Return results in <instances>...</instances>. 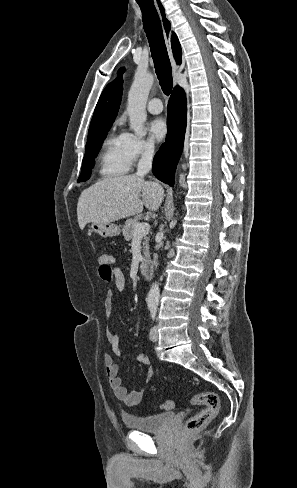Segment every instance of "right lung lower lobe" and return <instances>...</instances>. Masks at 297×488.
<instances>
[{
    "label": "right lung lower lobe",
    "mask_w": 297,
    "mask_h": 488,
    "mask_svg": "<svg viewBox=\"0 0 297 488\" xmlns=\"http://www.w3.org/2000/svg\"><path fill=\"white\" fill-rule=\"evenodd\" d=\"M168 134L153 160V173L164 183L174 185L177 163L182 153L186 129V97L175 87L168 103Z\"/></svg>",
    "instance_id": "right-lung-lower-lobe-1"
}]
</instances>
